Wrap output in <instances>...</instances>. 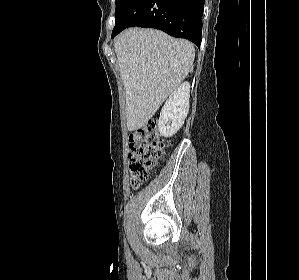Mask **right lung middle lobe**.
<instances>
[{
	"mask_svg": "<svg viewBox=\"0 0 299 280\" xmlns=\"http://www.w3.org/2000/svg\"><path fill=\"white\" fill-rule=\"evenodd\" d=\"M123 1L124 0H116L115 15L117 14V12H118V10H119V8H120V6H121V4H122Z\"/></svg>",
	"mask_w": 299,
	"mask_h": 280,
	"instance_id": "dd1d6c3e",
	"label": "right lung middle lobe"
}]
</instances>
